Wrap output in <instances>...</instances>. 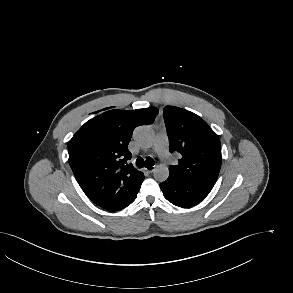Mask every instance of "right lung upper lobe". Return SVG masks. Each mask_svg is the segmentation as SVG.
I'll list each match as a JSON object with an SVG mask.
<instances>
[{"mask_svg": "<svg viewBox=\"0 0 293 293\" xmlns=\"http://www.w3.org/2000/svg\"><path fill=\"white\" fill-rule=\"evenodd\" d=\"M158 109L109 110L87 121L68 142L69 164L80 187L98 206L116 211L131 204L144 180L128 163L136 126L154 122Z\"/></svg>", "mask_w": 293, "mask_h": 293, "instance_id": "right-lung-upper-lobe-1", "label": "right lung upper lobe"}]
</instances>
